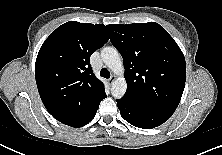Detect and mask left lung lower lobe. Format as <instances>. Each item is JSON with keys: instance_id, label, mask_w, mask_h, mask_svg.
I'll return each mask as SVG.
<instances>
[{"instance_id": "0a47b994", "label": "left lung lower lobe", "mask_w": 222, "mask_h": 155, "mask_svg": "<svg viewBox=\"0 0 222 155\" xmlns=\"http://www.w3.org/2000/svg\"><path fill=\"white\" fill-rule=\"evenodd\" d=\"M121 116L133 126L151 129L164 123L171 115L139 107L125 99H117Z\"/></svg>"}]
</instances>
